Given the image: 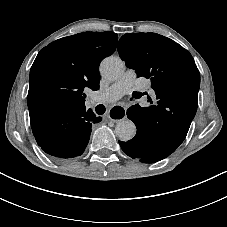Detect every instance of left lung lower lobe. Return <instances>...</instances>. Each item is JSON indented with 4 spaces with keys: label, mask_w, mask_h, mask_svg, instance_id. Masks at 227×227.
<instances>
[{
    "label": "left lung lower lobe",
    "mask_w": 227,
    "mask_h": 227,
    "mask_svg": "<svg viewBox=\"0 0 227 227\" xmlns=\"http://www.w3.org/2000/svg\"><path fill=\"white\" fill-rule=\"evenodd\" d=\"M127 116L135 123L137 134L127 142H118L122 150L131 158L139 159L143 163H154L169 156L183 142L175 144L167 141L159 136L156 130L157 125L161 124L158 120H164V124H171L179 129L178 124L183 122L175 119L178 116L175 113L169 111L157 117L149 108L134 105L127 110Z\"/></svg>",
    "instance_id": "obj_1"
}]
</instances>
